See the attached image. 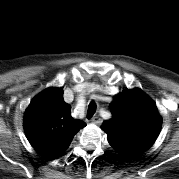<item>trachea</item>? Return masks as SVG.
<instances>
[{
  "mask_svg": "<svg viewBox=\"0 0 179 179\" xmlns=\"http://www.w3.org/2000/svg\"><path fill=\"white\" fill-rule=\"evenodd\" d=\"M96 108H97L96 103L91 101L88 106V110H87V118L88 119H90L94 115V113L96 112Z\"/></svg>",
  "mask_w": 179,
  "mask_h": 179,
  "instance_id": "obj_1",
  "label": "trachea"
}]
</instances>
